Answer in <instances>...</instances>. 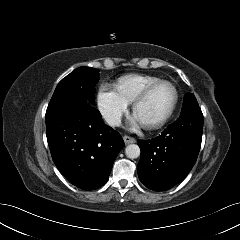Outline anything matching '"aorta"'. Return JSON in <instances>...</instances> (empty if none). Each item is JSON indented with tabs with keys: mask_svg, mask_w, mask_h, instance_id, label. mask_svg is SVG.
I'll use <instances>...</instances> for the list:
<instances>
[{
	"mask_svg": "<svg viewBox=\"0 0 240 240\" xmlns=\"http://www.w3.org/2000/svg\"><path fill=\"white\" fill-rule=\"evenodd\" d=\"M140 148L136 144H130L125 149V154L130 159H136L140 156Z\"/></svg>",
	"mask_w": 240,
	"mask_h": 240,
	"instance_id": "obj_1",
	"label": "aorta"
}]
</instances>
